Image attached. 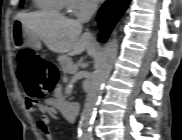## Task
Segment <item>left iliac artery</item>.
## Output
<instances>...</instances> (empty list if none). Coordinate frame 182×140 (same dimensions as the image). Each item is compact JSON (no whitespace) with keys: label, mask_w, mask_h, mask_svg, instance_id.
<instances>
[{"label":"left iliac artery","mask_w":182,"mask_h":140,"mask_svg":"<svg viewBox=\"0 0 182 140\" xmlns=\"http://www.w3.org/2000/svg\"><path fill=\"white\" fill-rule=\"evenodd\" d=\"M88 140H93V138H92V137H90V138H88Z\"/></svg>","instance_id":"obj_1"}]
</instances>
